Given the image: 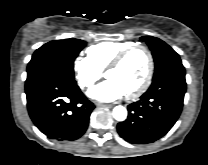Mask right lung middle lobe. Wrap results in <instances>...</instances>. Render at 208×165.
<instances>
[{
  "mask_svg": "<svg viewBox=\"0 0 208 165\" xmlns=\"http://www.w3.org/2000/svg\"><path fill=\"white\" fill-rule=\"evenodd\" d=\"M86 46L80 39L55 40L37 49L27 67L26 82L46 73L74 79L73 62Z\"/></svg>",
  "mask_w": 208,
  "mask_h": 165,
  "instance_id": "dd1d6c3e",
  "label": "right lung middle lobe"
}]
</instances>
